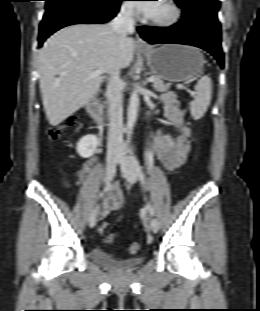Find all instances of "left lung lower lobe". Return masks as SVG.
<instances>
[{"mask_svg": "<svg viewBox=\"0 0 260 311\" xmlns=\"http://www.w3.org/2000/svg\"><path fill=\"white\" fill-rule=\"evenodd\" d=\"M141 37L151 44L177 43L193 45L211 53L224 67V54L221 49V29L204 18H183L172 27H139Z\"/></svg>", "mask_w": 260, "mask_h": 311, "instance_id": "0a47b994", "label": "left lung lower lobe"}]
</instances>
